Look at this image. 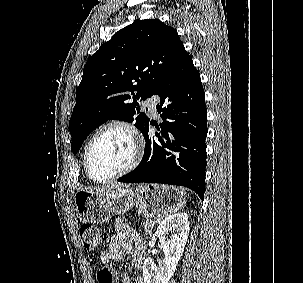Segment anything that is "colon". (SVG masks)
<instances>
[{
	"label": "colon",
	"instance_id": "obj_1",
	"mask_svg": "<svg viewBox=\"0 0 303 283\" xmlns=\"http://www.w3.org/2000/svg\"><path fill=\"white\" fill-rule=\"evenodd\" d=\"M80 236L83 241L84 248L87 252L92 254L96 253L107 239L105 231L92 225L82 226ZM97 279L99 283H115L117 280V272L111 268H103L97 273Z\"/></svg>",
	"mask_w": 303,
	"mask_h": 283
}]
</instances>
